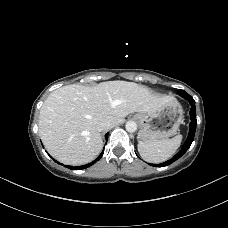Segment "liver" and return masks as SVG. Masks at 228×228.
Here are the masks:
<instances>
[{
	"label": "liver",
	"instance_id": "obj_1",
	"mask_svg": "<svg viewBox=\"0 0 228 228\" xmlns=\"http://www.w3.org/2000/svg\"><path fill=\"white\" fill-rule=\"evenodd\" d=\"M171 97L153 93L148 87L127 81H107L94 87L71 84L53 91L39 116V136L58 161L82 165L94 160L103 148L97 125L124 123L131 113H148Z\"/></svg>",
	"mask_w": 228,
	"mask_h": 228
}]
</instances>
